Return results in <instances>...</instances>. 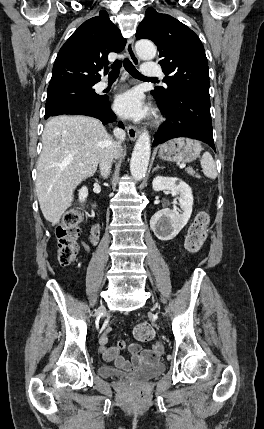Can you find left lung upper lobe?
<instances>
[{"instance_id":"obj_1","label":"left lung upper lobe","mask_w":264,"mask_h":429,"mask_svg":"<svg viewBox=\"0 0 264 429\" xmlns=\"http://www.w3.org/2000/svg\"><path fill=\"white\" fill-rule=\"evenodd\" d=\"M145 16L136 38L156 44L167 85L156 87L151 94L160 102L174 99L178 89L209 96L208 63L198 36L177 19L153 8H148Z\"/></svg>"}]
</instances>
